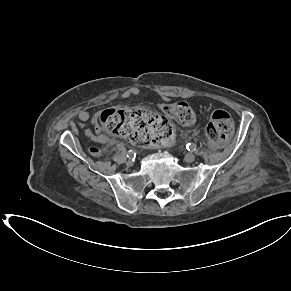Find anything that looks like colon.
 Wrapping results in <instances>:
<instances>
[{
  "mask_svg": "<svg viewBox=\"0 0 291 291\" xmlns=\"http://www.w3.org/2000/svg\"><path fill=\"white\" fill-rule=\"evenodd\" d=\"M165 111L168 117L182 125H191L196 119L195 112L185 102L171 103ZM99 120L105 131L140 146L162 145L173 135V126L166 117L141 108L106 109L100 114ZM233 129L234 122L229 113L220 109L213 111L206 130L210 145L222 147L229 140ZM91 154L98 155L99 152L94 150Z\"/></svg>",
  "mask_w": 291,
  "mask_h": 291,
  "instance_id": "1",
  "label": "colon"
}]
</instances>
